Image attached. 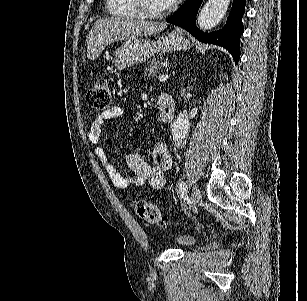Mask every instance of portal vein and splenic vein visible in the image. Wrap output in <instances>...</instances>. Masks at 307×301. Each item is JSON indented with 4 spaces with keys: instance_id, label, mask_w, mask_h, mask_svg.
Returning a JSON list of instances; mask_svg holds the SVG:
<instances>
[{
    "instance_id": "portal-vein-and-splenic-vein-1",
    "label": "portal vein and splenic vein",
    "mask_w": 307,
    "mask_h": 301,
    "mask_svg": "<svg viewBox=\"0 0 307 301\" xmlns=\"http://www.w3.org/2000/svg\"><path fill=\"white\" fill-rule=\"evenodd\" d=\"M159 80H167L169 78L168 74H159L158 76Z\"/></svg>"
}]
</instances>
